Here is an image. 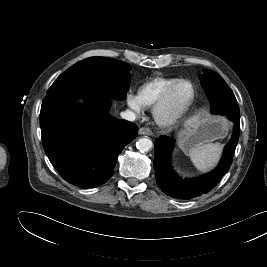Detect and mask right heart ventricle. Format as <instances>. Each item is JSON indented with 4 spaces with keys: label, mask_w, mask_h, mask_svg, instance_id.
Listing matches in <instances>:
<instances>
[{
    "label": "right heart ventricle",
    "mask_w": 267,
    "mask_h": 267,
    "mask_svg": "<svg viewBox=\"0 0 267 267\" xmlns=\"http://www.w3.org/2000/svg\"><path fill=\"white\" fill-rule=\"evenodd\" d=\"M178 78L156 77L144 84L138 89V96L145 106H152L162 93L173 83L178 81Z\"/></svg>",
    "instance_id": "obj_1"
}]
</instances>
